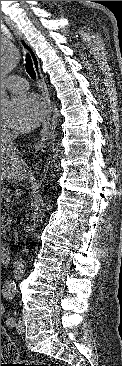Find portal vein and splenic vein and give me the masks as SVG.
<instances>
[{"label":"portal vein and splenic vein","instance_id":"obj_1","mask_svg":"<svg viewBox=\"0 0 122 366\" xmlns=\"http://www.w3.org/2000/svg\"><path fill=\"white\" fill-rule=\"evenodd\" d=\"M6 201L9 202V198H6Z\"/></svg>","mask_w":122,"mask_h":366}]
</instances>
